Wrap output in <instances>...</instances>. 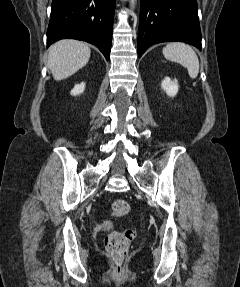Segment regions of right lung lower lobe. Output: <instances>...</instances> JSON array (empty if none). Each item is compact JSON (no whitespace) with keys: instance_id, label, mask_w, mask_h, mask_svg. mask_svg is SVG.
<instances>
[{"instance_id":"98d812e1","label":"right lung lower lobe","mask_w":240,"mask_h":287,"mask_svg":"<svg viewBox=\"0 0 240 287\" xmlns=\"http://www.w3.org/2000/svg\"><path fill=\"white\" fill-rule=\"evenodd\" d=\"M116 0H53L47 46L71 38L94 44L109 60Z\"/></svg>"}]
</instances>
